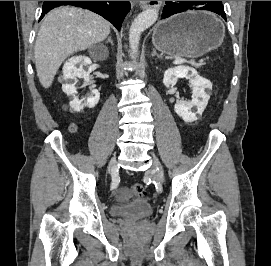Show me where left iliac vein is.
Segmentation results:
<instances>
[{"label":"left iliac vein","instance_id":"1","mask_svg":"<svg viewBox=\"0 0 271 266\" xmlns=\"http://www.w3.org/2000/svg\"><path fill=\"white\" fill-rule=\"evenodd\" d=\"M152 158H153V163H154V167H153V170H152L154 180L157 183L161 184L163 182V178H164L162 166H161L158 158L155 157L153 154H152Z\"/></svg>","mask_w":271,"mask_h":266}]
</instances>
